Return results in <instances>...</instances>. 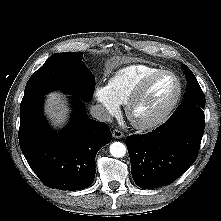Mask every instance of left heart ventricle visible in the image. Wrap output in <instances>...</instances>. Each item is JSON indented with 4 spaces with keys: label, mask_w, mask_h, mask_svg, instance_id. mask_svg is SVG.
<instances>
[{
    "label": "left heart ventricle",
    "mask_w": 221,
    "mask_h": 221,
    "mask_svg": "<svg viewBox=\"0 0 221 221\" xmlns=\"http://www.w3.org/2000/svg\"><path fill=\"white\" fill-rule=\"evenodd\" d=\"M176 92V82L170 75L154 80L134 109L138 121L149 120L158 115L172 100Z\"/></svg>",
    "instance_id": "1"
}]
</instances>
